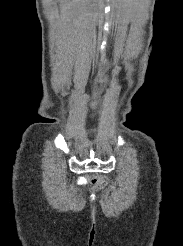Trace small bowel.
<instances>
[{"label":"small bowel","instance_id":"obj_1","mask_svg":"<svg viewBox=\"0 0 183 246\" xmlns=\"http://www.w3.org/2000/svg\"><path fill=\"white\" fill-rule=\"evenodd\" d=\"M80 184H81V185H84V184H85V181H84V180H81V181H80Z\"/></svg>","mask_w":183,"mask_h":246}]
</instances>
